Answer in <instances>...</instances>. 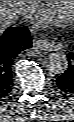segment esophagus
Masks as SVG:
<instances>
[{
	"label": "esophagus",
	"mask_w": 74,
	"mask_h": 122,
	"mask_svg": "<svg viewBox=\"0 0 74 122\" xmlns=\"http://www.w3.org/2000/svg\"><path fill=\"white\" fill-rule=\"evenodd\" d=\"M33 49L35 51L38 50L48 51L51 49V44L46 40H36L33 42Z\"/></svg>",
	"instance_id": "obj_1"
}]
</instances>
